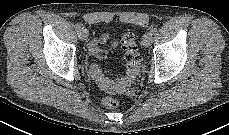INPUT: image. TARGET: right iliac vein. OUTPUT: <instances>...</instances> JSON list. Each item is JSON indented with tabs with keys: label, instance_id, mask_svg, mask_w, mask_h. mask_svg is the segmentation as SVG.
Returning <instances> with one entry per match:
<instances>
[{
	"label": "right iliac vein",
	"instance_id": "right-iliac-vein-1",
	"mask_svg": "<svg viewBox=\"0 0 229 135\" xmlns=\"http://www.w3.org/2000/svg\"><path fill=\"white\" fill-rule=\"evenodd\" d=\"M88 36H89V32H88L87 29H84V28L81 29V30L79 31V33H78V37H79V39L82 40V41L87 40Z\"/></svg>",
	"mask_w": 229,
	"mask_h": 135
}]
</instances>
